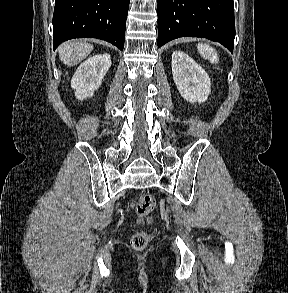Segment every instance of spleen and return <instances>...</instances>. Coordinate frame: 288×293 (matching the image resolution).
Here are the masks:
<instances>
[{"label": "spleen", "instance_id": "1", "mask_svg": "<svg viewBox=\"0 0 288 293\" xmlns=\"http://www.w3.org/2000/svg\"><path fill=\"white\" fill-rule=\"evenodd\" d=\"M197 49L203 58L208 59L211 63H218L217 52L210 45L201 43L197 45Z\"/></svg>", "mask_w": 288, "mask_h": 293}]
</instances>
